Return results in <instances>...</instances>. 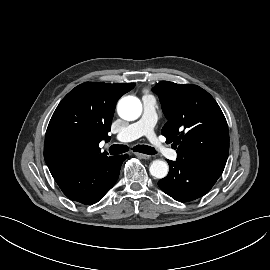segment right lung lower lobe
<instances>
[{"instance_id":"right-lung-lower-lobe-1","label":"right lung lower lobe","mask_w":270,"mask_h":270,"mask_svg":"<svg viewBox=\"0 0 270 270\" xmlns=\"http://www.w3.org/2000/svg\"><path fill=\"white\" fill-rule=\"evenodd\" d=\"M125 155L107 156L81 169L55 177L63 193L73 201L94 204L116 183Z\"/></svg>"}]
</instances>
